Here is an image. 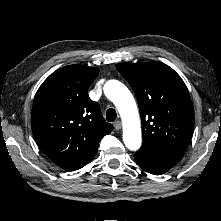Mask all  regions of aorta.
I'll list each match as a JSON object with an SVG mask.
<instances>
[{
	"instance_id": "1",
	"label": "aorta",
	"mask_w": 221,
	"mask_h": 221,
	"mask_svg": "<svg viewBox=\"0 0 221 221\" xmlns=\"http://www.w3.org/2000/svg\"><path fill=\"white\" fill-rule=\"evenodd\" d=\"M104 93L121 115L125 146L132 151L138 150L142 143L141 124L133 95L123 83L117 80L106 82Z\"/></svg>"
}]
</instances>
